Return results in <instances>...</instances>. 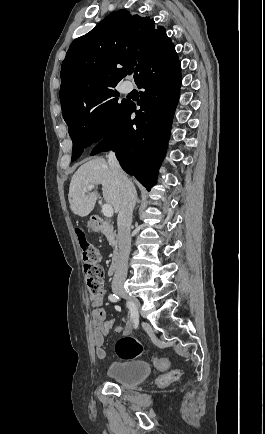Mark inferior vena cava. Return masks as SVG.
Segmentation results:
<instances>
[{"label": "inferior vena cava", "mask_w": 265, "mask_h": 434, "mask_svg": "<svg viewBox=\"0 0 265 434\" xmlns=\"http://www.w3.org/2000/svg\"><path fill=\"white\" fill-rule=\"evenodd\" d=\"M108 164L114 170L120 188V208L117 218L119 250L113 282H124L127 278L128 258L131 248V222L137 202V194L134 184L122 172L114 152H110Z\"/></svg>", "instance_id": "602c4592"}]
</instances>
